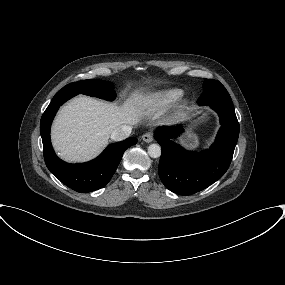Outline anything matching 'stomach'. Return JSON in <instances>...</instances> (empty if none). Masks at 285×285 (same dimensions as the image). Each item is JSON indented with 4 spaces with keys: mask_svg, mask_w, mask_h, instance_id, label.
I'll return each instance as SVG.
<instances>
[{
    "mask_svg": "<svg viewBox=\"0 0 285 285\" xmlns=\"http://www.w3.org/2000/svg\"><path fill=\"white\" fill-rule=\"evenodd\" d=\"M180 142L189 149L196 148L199 143L197 135L192 131L186 132V134L180 138Z\"/></svg>",
    "mask_w": 285,
    "mask_h": 285,
    "instance_id": "obj_1",
    "label": "stomach"
}]
</instances>
